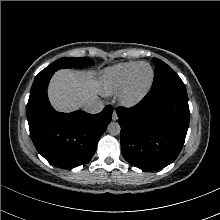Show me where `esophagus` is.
<instances>
[{
	"instance_id": "1",
	"label": "esophagus",
	"mask_w": 220,
	"mask_h": 220,
	"mask_svg": "<svg viewBox=\"0 0 220 220\" xmlns=\"http://www.w3.org/2000/svg\"><path fill=\"white\" fill-rule=\"evenodd\" d=\"M112 120H113V121L118 120V116H117V113H116L115 110H114L113 113H112Z\"/></svg>"
}]
</instances>
